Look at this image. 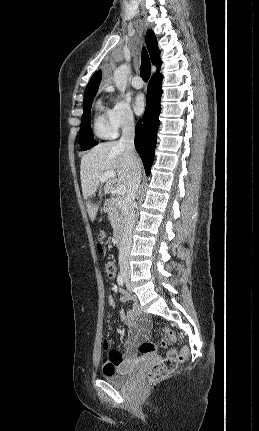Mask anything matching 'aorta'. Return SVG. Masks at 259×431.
<instances>
[{"label":"aorta","mask_w":259,"mask_h":431,"mask_svg":"<svg viewBox=\"0 0 259 431\" xmlns=\"http://www.w3.org/2000/svg\"><path fill=\"white\" fill-rule=\"evenodd\" d=\"M129 73L130 67L127 64L119 66L114 72V83L121 92L126 90Z\"/></svg>","instance_id":"1"}]
</instances>
